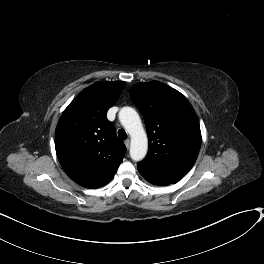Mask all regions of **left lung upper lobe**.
<instances>
[{
	"instance_id": "left-lung-upper-lobe-1",
	"label": "left lung upper lobe",
	"mask_w": 264,
	"mask_h": 264,
	"mask_svg": "<svg viewBox=\"0 0 264 264\" xmlns=\"http://www.w3.org/2000/svg\"><path fill=\"white\" fill-rule=\"evenodd\" d=\"M134 104L144 115L149 148L138 170L150 178L176 183L194 165L201 145L198 117L177 90L158 81L130 89Z\"/></svg>"
}]
</instances>
